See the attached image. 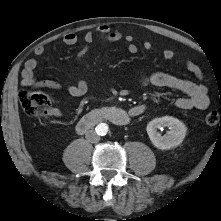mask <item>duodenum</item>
<instances>
[{"mask_svg":"<svg viewBox=\"0 0 221 221\" xmlns=\"http://www.w3.org/2000/svg\"><path fill=\"white\" fill-rule=\"evenodd\" d=\"M145 106H136L135 114L126 112L118 106H108L95 109L83 116L76 125V131L84 134L99 122L106 120L118 126L127 125L132 116L141 115L145 111Z\"/></svg>","mask_w":221,"mask_h":221,"instance_id":"obj_1","label":"duodenum"}]
</instances>
